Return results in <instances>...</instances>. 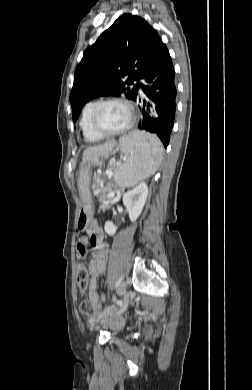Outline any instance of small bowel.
I'll list each match as a JSON object with an SVG mask.
<instances>
[{"mask_svg": "<svg viewBox=\"0 0 252 390\" xmlns=\"http://www.w3.org/2000/svg\"><path fill=\"white\" fill-rule=\"evenodd\" d=\"M90 244L95 247V253L89 265L90 283L88 288V295L90 301L93 303L95 310L100 311L102 306L97 291V278L106 273V265L109 256V246L103 240V231L96 225L88 231V235L79 238L77 244V251L79 256L85 257L87 255V245Z\"/></svg>", "mask_w": 252, "mask_h": 390, "instance_id": "c3829d8e", "label": "small bowel"}]
</instances>
